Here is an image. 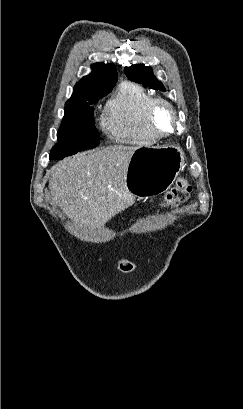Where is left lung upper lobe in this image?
Returning a JSON list of instances; mask_svg holds the SVG:
<instances>
[{"instance_id":"obj_1","label":"left lung upper lobe","mask_w":243,"mask_h":409,"mask_svg":"<svg viewBox=\"0 0 243 409\" xmlns=\"http://www.w3.org/2000/svg\"><path fill=\"white\" fill-rule=\"evenodd\" d=\"M124 72L132 81L142 83L150 88H161L162 90H165L163 85L153 75L152 69L149 66H145L144 64L132 65L130 67H125Z\"/></svg>"}]
</instances>
